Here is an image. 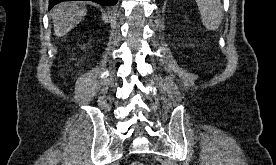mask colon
Segmentation results:
<instances>
[{
  "mask_svg": "<svg viewBox=\"0 0 276 165\" xmlns=\"http://www.w3.org/2000/svg\"><path fill=\"white\" fill-rule=\"evenodd\" d=\"M131 165H144V164L142 162L136 161V162H133Z\"/></svg>",
  "mask_w": 276,
  "mask_h": 165,
  "instance_id": "1",
  "label": "colon"
}]
</instances>
